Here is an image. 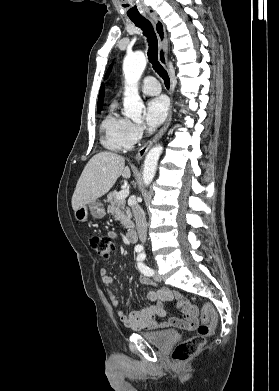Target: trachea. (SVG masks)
Returning a JSON list of instances; mask_svg holds the SVG:
<instances>
[{
  "instance_id": "obj_1",
  "label": "trachea",
  "mask_w": 279,
  "mask_h": 391,
  "mask_svg": "<svg viewBox=\"0 0 279 391\" xmlns=\"http://www.w3.org/2000/svg\"><path fill=\"white\" fill-rule=\"evenodd\" d=\"M131 20L137 27L142 29L144 36H146L149 45L147 52L148 59L151 62L155 72H157L164 80L166 88L169 89L170 79L167 71L158 61V40L151 22L145 18H131Z\"/></svg>"
}]
</instances>
